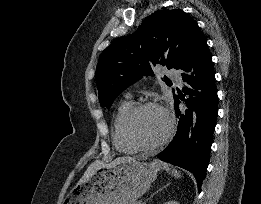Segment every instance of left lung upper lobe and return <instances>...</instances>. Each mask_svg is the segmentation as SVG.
Segmentation results:
<instances>
[{"instance_id":"obj_1","label":"left lung upper lobe","mask_w":261,"mask_h":204,"mask_svg":"<svg viewBox=\"0 0 261 204\" xmlns=\"http://www.w3.org/2000/svg\"><path fill=\"white\" fill-rule=\"evenodd\" d=\"M199 26L180 9L153 13L131 35L121 37L101 54L97 65L99 102L108 109L114 99L160 64L180 69Z\"/></svg>"}]
</instances>
